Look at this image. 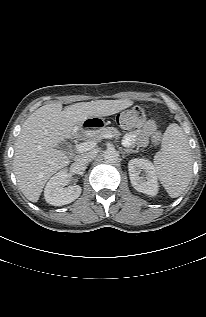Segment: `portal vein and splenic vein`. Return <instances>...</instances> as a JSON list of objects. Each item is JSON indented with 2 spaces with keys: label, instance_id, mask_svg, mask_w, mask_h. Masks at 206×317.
<instances>
[{
  "label": "portal vein and splenic vein",
  "instance_id": "obj_1",
  "mask_svg": "<svg viewBox=\"0 0 206 317\" xmlns=\"http://www.w3.org/2000/svg\"><path fill=\"white\" fill-rule=\"evenodd\" d=\"M113 136L111 134H105L103 135V138H106V139H110L112 138ZM96 146V142L95 141H88V142H84V143H81L77 146V151L78 152H84V151H88V150H91L93 149L94 147Z\"/></svg>",
  "mask_w": 206,
  "mask_h": 317
}]
</instances>
